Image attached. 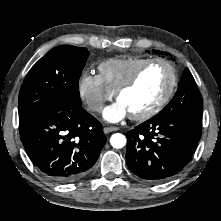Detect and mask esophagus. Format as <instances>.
<instances>
[{
    "label": "esophagus",
    "instance_id": "1",
    "mask_svg": "<svg viewBox=\"0 0 221 221\" xmlns=\"http://www.w3.org/2000/svg\"><path fill=\"white\" fill-rule=\"evenodd\" d=\"M118 128L117 127H114V126H110V127H105L104 128V133H110V132H113V131H117Z\"/></svg>",
    "mask_w": 221,
    "mask_h": 221
}]
</instances>
